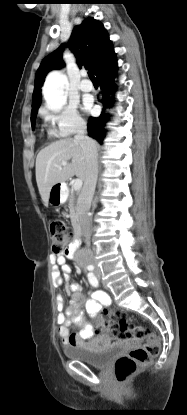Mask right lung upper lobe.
<instances>
[{"label": "right lung upper lobe", "mask_w": 187, "mask_h": 415, "mask_svg": "<svg viewBox=\"0 0 187 415\" xmlns=\"http://www.w3.org/2000/svg\"><path fill=\"white\" fill-rule=\"evenodd\" d=\"M64 47L65 45L61 44L58 49L48 55L42 61L36 72L32 112L38 110L41 103V86L47 73L64 66L62 59ZM68 47L75 55L78 66L85 65L95 75L115 55L111 41L103 25L92 17H88L81 25L73 29Z\"/></svg>", "instance_id": "right-lung-upper-lobe-1"}]
</instances>
